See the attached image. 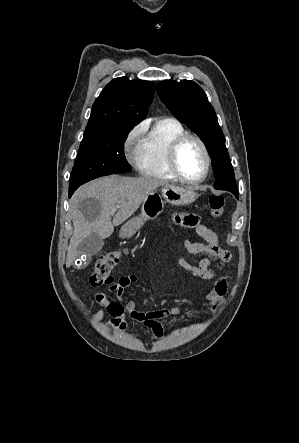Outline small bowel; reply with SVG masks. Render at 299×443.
Returning <instances> with one entry per match:
<instances>
[{"instance_id":"1","label":"small bowel","mask_w":299,"mask_h":443,"mask_svg":"<svg viewBox=\"0 0 299 443\" xmlns=\"http://www.w3.org/2000/svg\"><path fill=\"white\" fill-rule=\"evenodd\" d=\"M173 221L177 226L193 229L194 233L204 240V242H196L191 238H187L184 241V247L189 254L205 255L199 263H190L184 258H179L177 262L181 268L196 277L207 281L214 280V285L207 291L205 299L196 306L217 309L227 293L228 282L224 276L218 275L211 270L210 266L213 259H217L222 263H228L231 259V254L228 250L221 247L217 234L211 228L201 223L199 215L175 213L173 215ZM136 280L137 276L135 274H129L121 277L116 283L112 284L109 291L114 293L117 299H109L103 292L97 293L95 300L101 308L94 313L93 317L96 320L102 319L105 309L112 317L107 324L108 327L119 332H125L128 326L126 315H128L132 320L144 323L154 338H160L164 333L161 320L183 313L187 302L169 309L150 312L137 310L132 300L123 304L121 302V296L124 290L135 283Z\"/></svg>"}]
</instances>
